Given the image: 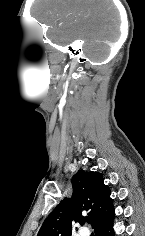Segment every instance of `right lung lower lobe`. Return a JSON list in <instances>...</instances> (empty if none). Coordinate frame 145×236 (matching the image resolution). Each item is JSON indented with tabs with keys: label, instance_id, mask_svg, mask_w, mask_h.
<instances>
[{
	"label": "right lung lower lobe",
	"instance_id": "98d812e1",
	"mask_svg": "<svg viewBox=\"0 0 145 236\" xmlns=\"http://www.w3.org/2000/svg\"><path fill=\"white\" fill-rule=\"evenodd\" d=\"M114 216L115 213L112 211L103 220L96 224L94 227L96 236H115L113 229Z\"/></svg>",
	"mask_w": 145,
	"mask_h": 236
}]
</instances>
